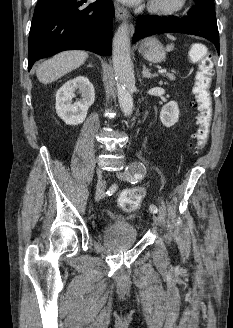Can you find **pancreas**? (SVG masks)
<instances>
[{
  "mask_svg": "<svg viewBox=\"0 0 233 328\" xmlns=\"http://www.w3.org/2000/svg\"><path fill=\"white\" fill-rule=\"evenodd\" d=\"M163 76L167 77L171 81L175 80V76L172 73H165Z\"/></svg>",
  "mask_w": 233,
  "mask_h": 328,
  "instance_id": "cf45deb5",
  "label": "pancreas"
}]
</instances>
